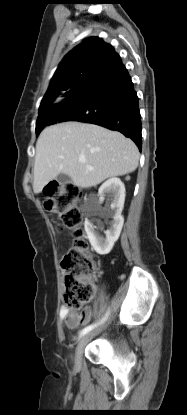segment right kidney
Wrapping results in <instances>:
<instances>
[{
  "mask_svg": "<svg viewBox=\"0 0 187 415\" xmlns=\"http://www.w3.org/2000/svg\"><path fill=\"white\" fill-rule=\"evenodd\" d=\"M106 195L111 201V210L102 209L100 205H97L100 216L113 218L110 228L105 231L106 238L100 236L95 231V226L89 220L86 219L84 224L91 246L100 255H106L112 250L123 227L124 218L121 215L125 201V186L123 182L119 178H110L104 182L99 188L98 196L100 199H104Z\"/></svg>",
  "mask_w": 187,
  "mask_h": 415,
  "instance_id": "ca27d5eb",
  "label": "right kidney"
}]
</instances>
